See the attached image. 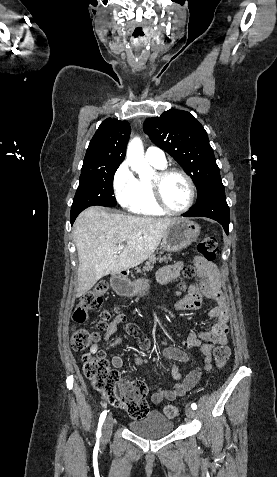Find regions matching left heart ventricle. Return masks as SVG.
<instances>
[{
  "instance_id": "1",
  "label": "left heart ventricle",
  "mask_w": 277,
  "mask_h": 477,
  "mask_svg": "<svg viewBox=\"0 0 277 477\" xmlns=\"http://www.w3.org/2000/svg\"><path fill=\"white\" fill-rule=\"evenodd\" d=\"M162 194L166 204L174 210L184 207L189 198L187 181L181 175H171L162 184Z\"/></svg>"
}]
</instances>
